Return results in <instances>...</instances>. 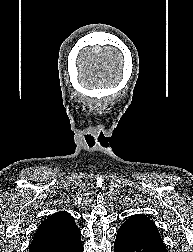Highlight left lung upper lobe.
<instances>
[{
  "label": "left lung upper lobe",
  "instance_id": "1",
  "mask_svg": "<svg viewBox=\"0 0 193 252\" xmlns=\"http://www.w3.org/2000/svg\"><path fill=\"white\" fill-rule=\"evenodd\" d=\"M123 227L127 226H138V227H151L156 228L155 224L146 216L141 214L132 215L129 219H127L123 225Z\"/></svg>",
  "mask_w": 193,
  "mask_h": 252
}]
</instances>
